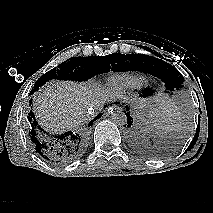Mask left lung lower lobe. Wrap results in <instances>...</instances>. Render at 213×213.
<instances>
[{"label":"left lung lower lobe","instance_id":"0a47b994","mask_svg":"<svg viewBox=\"0 0 213 213\" xmlns=\"http://www.w3.org/2000/svg\"><path fill=\"white\" fill-rule=\"evenodd\" d=\"M166 89L172 90V86L165 82ZM152 93L151 89H145L144 94L149 95ZM126 110L129 111V108L126 107ZM127 116V127H131L133 123V119L130 114L124 112ZM126 127V125H124ZM129 143L134 150H136L139 154L144 155L150 158L159 157L161 154V150H159L158 146L153 143V141L144 133L139 130H133L129 134Z\"/></svg>","mask_w":213,"mask_h":213}]
</instances>
